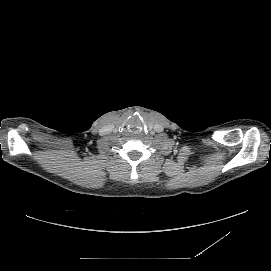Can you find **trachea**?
Masks as SVG:
<instances>
[{
  "instance_id": "obj_1",
  "label": "trachea",
  "mask_w": 271,
  "mask_h": 271,
  "mask_svg": "<svg viewBox=\"0 0 271 271\" xmlns=\"http://www.w3.org/2000/svg\"><path fill=\"white\" fill-rule=\"evenodd\" d=\"M140 125H141L140 121L135 119V120H132L131 122H129L128 129L131 132H136L140 128Z\"/></svg>"
}]
</instances>
